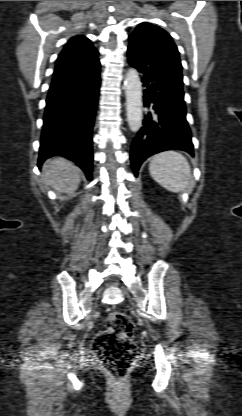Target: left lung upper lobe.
<instances>
[{"instance_id":"1","label":"left lung upper lobe","mask_w":242,"mask_h":416,"mask_svg":"<svg viewBox=\"0 0 242 416\" xmlns=\"http://www.w3.org/2000/svg\"><path fill=\"white\" fill-rule=\"evenodd\" d=\"M129 39H135L140 44L149 46L159 52L171 65L174 73L183 79L179 52L171 36L165 30L144 22L136 27Z\"/></svg>"}]
</instances>
